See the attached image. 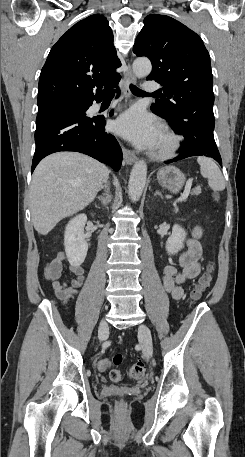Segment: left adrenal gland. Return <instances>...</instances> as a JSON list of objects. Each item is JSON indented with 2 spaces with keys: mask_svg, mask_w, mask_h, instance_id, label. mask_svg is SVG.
Masks as SVG:
<instances>
[{
  "mask_svg": "<svg viewBox=\"0 0 245 457\" xmlns=\"http://www.w3.org/2000/svg\"><path fill=\"white\" fill-rule=\"evenodd\" d=\"M155 194H159V196H161V198H163V194H162V192H159V190H156Z\"/></svg>",
  "mask_w": 245,
  "mask_h": 457,
  "instance_id": "a2214340",
  "label": "left adrenal gland"
}]
</instances>
